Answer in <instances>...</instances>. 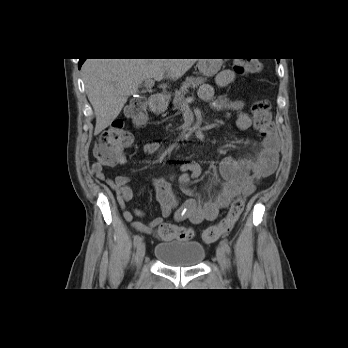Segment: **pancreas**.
<instances>
[{
    "instance_id": "1",
    "label": "pancreas",
    "mask_w": 348,
    "mask_h": 348,
    "mask_svg": "<svg viewBox=\"0 0 348 348\" xmlns=\"http://www.w3.org/2000/svg\"><path fill=\"white\" fill-rule=\"evenodd\" d=\"M206 82V78L203 77H187L185 82H183L182 86L179 90H176L174 93L173 99V109H180L185 102V95L189 92V88H197L201 84Z\"/></svg>"
}]
</instances>
